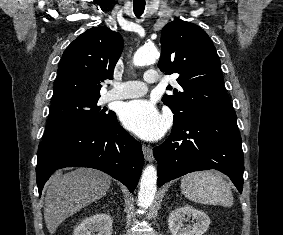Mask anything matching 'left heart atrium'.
Returning <instances> with one entry per match:
<instances>
[{"label": "left heart atrium", "instance_id": "39dd6f15", "mask_svg": "<svg viewBox=\"0 0 283 235\" xmlns=\"http://www.w3.org/2000/svg\"><path fill=\"white\" fill-rule=\"evenodd\" d=\"M119 117L125 128L144 140L159 139L168 126L167 119L147 100L125 103Z\"/></svg>", "mask_w": 283, "mask_h": 235}]
</instances>
